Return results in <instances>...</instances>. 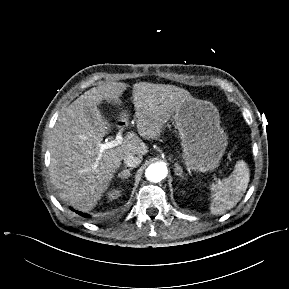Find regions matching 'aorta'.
<instances>
[{
  "label": "aorta",
  "instance_id": "obj_1",
  "mask_svg": "<svg viewBox=\"0 0 289 289\" xmlns=\"http://www.w3.org/2000/svg\"><path fill=\"white\" fill-rule=\"evenodd\" d=\"M167 176V167L163 163H153L145 170V177L151 182H160Z\"/></svg>",
  "mask_w": 289,
  "mask_h": 289
}]
</instances>
